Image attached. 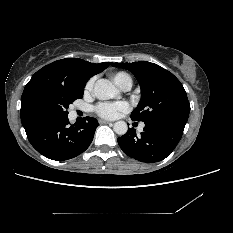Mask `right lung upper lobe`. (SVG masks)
<instances>
[{
	"mask_svg": "<svg viewBox=\"0 0 233 233\" xmlns=\"http://www.w3.org/2000/svg\"><path fill=\"white\" fill-rule=\"evenodd\" d=\"M110 62L90 63L78 58L52 62L37 71L27 83L21 97V122L26 133L45 122L36 109L40 93L57 88L80 89L95 74L104 71Z\"/></svg>",
	"mask_w": 233,
	"mask_h": 233,
	"instance_id": "1",
	"label": "right lung upper lobe"
}]
</instances>
